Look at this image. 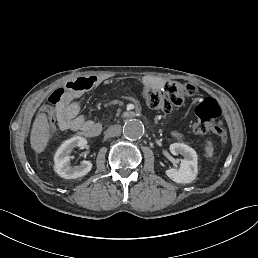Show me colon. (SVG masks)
Listing matches in <instances>:
<instances>
[{
    "label": "colon",
    "instance_id": "1",
    "mask_svg": "<svg viewBox=\"0 0 258 258\" xmlns=\"http://www.w3.org/2000/svg\"><path fill=\"white\" fill-rule=\"evenodd\" d=\"M71 89V86L65 84L53 91L48 99L49 107L57 108L61 105ZM193 91L194 87L188 83L168 81L161 89L147 88L145 97L151 108L170 113L174 108L184 104L186 99L192 96ZM49 107L46 112L51 120L53 112ZM220 114L218 103L212 98H206L196 107L197 121L192 126V132L202 135L212 131L222 142H226V130L221 124H214Z\"/></svg>",
    "mask_w": 258,
    "mask_h": 258
}]
</instances>
